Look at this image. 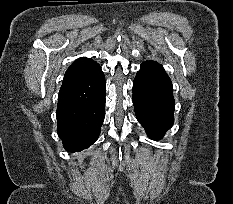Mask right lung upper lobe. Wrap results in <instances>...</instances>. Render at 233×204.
I'll list each match as a JSON object with an SVG mask.
<instances>
[{"label": "right lung upper lobe", "mask_w": 233, "mask_h": 204, "mask_svg": "<svg viewBox=\"0 0 233 204\" xmlns=\"http://www.w3.org/2000/svg\"><path fill=\"white\" fill-rule=\"evenodd\" d=\"M97 66L99 65L92 59L79 58L66 71L63 83L85 76L92 72Z\"/></svg>", "instance_id": "cb5924a9"}]
</instances>
